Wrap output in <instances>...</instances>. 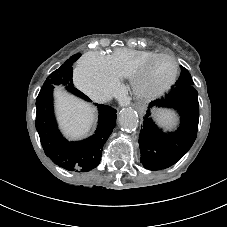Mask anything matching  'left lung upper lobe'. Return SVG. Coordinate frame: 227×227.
I'll return each instance as SVG.
<instances>
[{"label":"left lung upper lobe","mask_w":227,"mask_h":227,"mask_svg":"<svg viewBox=\"0 0 227 227\" xmlns=\"http://www.w3.org/2000/svg\"><path fill=\"white\" fill-rule=\"evenodd\" d=\"M186 85H194V83L189 71L183 66H181L180 77L176 81L175 86H186Z\"/></svg>","instance_id":"5c2ea615"}]
</instances>
